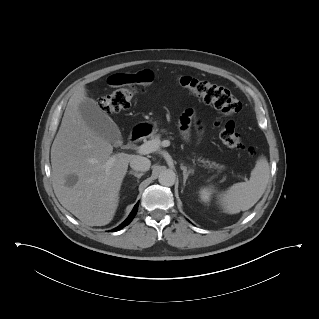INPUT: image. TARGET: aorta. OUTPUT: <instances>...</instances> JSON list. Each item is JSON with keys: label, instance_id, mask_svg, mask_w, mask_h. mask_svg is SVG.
I'll list each match as a JSON object with an SVG mask.
<instances>
[{"label": "aorta", "instance_id": "obj_1", "mask_svg": "<svg viewBox=\"0 0 319 319\" xmlns=\"http://www.w3.org/2000/svg\"><path fill=\"white\" fill-rule=\"evenodd\" d=\"M176 180V175L173 170L166 169L160 172L158 181L163 186H173Z\"/></svg>", "mask_w": 319, "mask_h": 319}]
</instances>
